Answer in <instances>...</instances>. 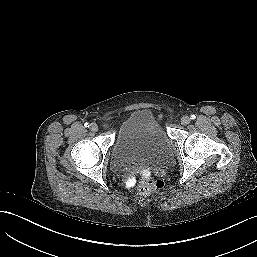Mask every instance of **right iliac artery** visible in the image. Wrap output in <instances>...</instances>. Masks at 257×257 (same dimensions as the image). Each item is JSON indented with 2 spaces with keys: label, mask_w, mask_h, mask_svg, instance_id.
Wrapping results in <instances>:
<instances>
[{
  "label": "right iliac artery",
  "mask_w": 257,
  "mask_h": 257,
  "mask_svg": "<svg viewBox=\"0 0 257 257\" xmlns=\"http://www.w3.org/2000/svg\"><path fill=\"white\" fill-rule=\"evenodd\" d=\"M84 126H85V127H89L90 125H89V123L86 122V123L84 124Z\"/></svg>",
  "instance_id": "1"
}]
</instances>
